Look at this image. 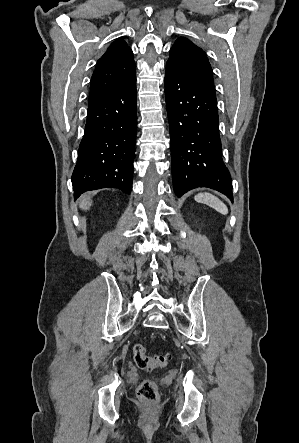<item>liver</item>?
<instances>
[{
  "label": "liver",
  "mask_w": 299,
  "mask_h": 443,
  "mask_svg": "<svg viewBox=\"0 0 299 443\" xmlns=\"http://www.w3.org/2000/svg\"><path fill=\"white\" fill-rule=\"evenodd\" d=\"M92 204V200L90 199V196L84 194L83 196H81L80 198V203H79V207L82 210H88L90 208Z\"/></svg>",
  "instance_id": "1"
}]
</instances>
